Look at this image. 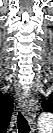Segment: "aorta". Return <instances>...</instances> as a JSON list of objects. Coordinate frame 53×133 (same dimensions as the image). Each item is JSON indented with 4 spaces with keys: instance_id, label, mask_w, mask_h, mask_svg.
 <instances>
[{
    "instance_id": "obj_1",
    "label": "aorta",
    "mask_w": 53,
    "mask_h": 133,
    "mask_svg": "<svg viewBox=\"0 0 53 133\" xmlns=\"http://www.w3.org/2000/svg\"><path fill=\"white\" fill-rule=\"evenodd\" d=\"M38 125L40 129H49L52 126V114L42 113L38 118Z\"/></svg>"
}]
</instances>
